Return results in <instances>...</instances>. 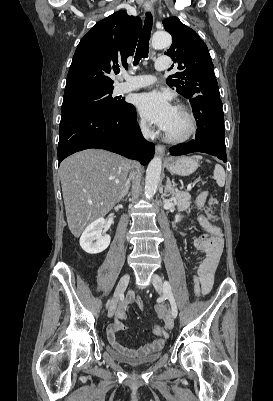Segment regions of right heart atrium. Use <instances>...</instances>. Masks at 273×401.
Wrapping results in <instances>:
<instances>
[{
  "mask_svg": "<svg viewBox=\"0 0 273 401\" xmlns=\"http://www.w3.org/2000/svg\"><path fill=\"white\" fill-rule=\"evenodd\" d=\"M139 128L143 134L149 135L151 134V127L143 120L139 121Z\"/></svg>",
  "mask_w": 273,
  "mask_h": 401,
  "instance_id": "1",
  "label": "right heart atrium"
}]
</instances>
